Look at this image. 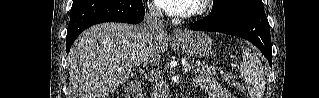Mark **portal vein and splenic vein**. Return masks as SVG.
Wrapping results in <instances>:
<instances>
[{
  "instance_id": "18ae733b",
  "label": "portal vein and splenic vein",
  "mask_w": 319,
  "mask_h": 98,
  "mask_svg": "<svg viewBox=\"0 0 319 98\" xmlns=\"http://www.w3.org/2000/svg\"><path fill=\"white\" fill-rule=\"evenodd\" d=\"M134 64L138 65V63H137L136 61H134ZM190 70H191V66H190L189 64H185V65L183 66V68H182V71H183L184 73H187V72H189Z\"/></svg>"
}]
</instances>
